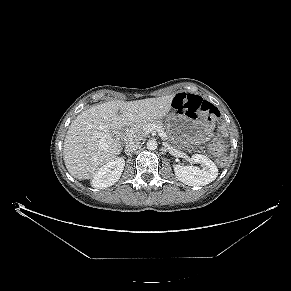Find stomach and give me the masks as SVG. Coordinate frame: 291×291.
Here are the masks:
<instances>
[{"label":"stomach","instance_id":"0dacf381","mask_svg":"<svg viewBox=\"0 0 291 291\" xmlns=\"http://www.w3.org/2000/svg\"><path fill=\"white\" fill-rule=\"evenodd\" d=\"M167 123L173 128H184L188 130V135L197 140L206 139L212 132L210 125L197 120L191 119L185 115L171 114L166 117Z\"/></svg>","mask_w":291,"mask_h":291}]
</instances>
